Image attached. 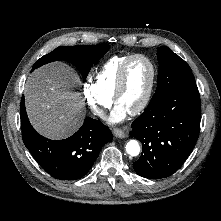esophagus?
Wrapping results in <instances>:
<instances>
[{"label":"esophagus","mask_w":221,"mask_h":221,"mask_svg":"<svg viewBox=\"0 0 221 221\" xmlns=\"http://www.w3.org/2000/svg\"><path fill=\"white\" fill-rule=\"evenodd\" d=\"M113 134L117 138H125V137L128 136V133L125 130H122V129H119V128L113 129Z\"/></svg>","instance_id":"1"}]
</instances>
